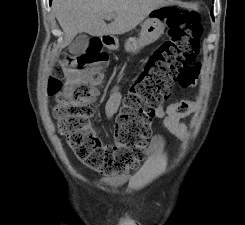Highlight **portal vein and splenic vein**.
I'll return each instance as SVG.
<instances>
[{
    "label": "portal vein and splenic vein",
    "instance_id": "portal-vein-and-splenic-vein-1",
    "mask_svg": "<svg viewBox=\"0 0 245 225\" xmlns=\"http://www.w3.org/2000/svg\"><path fill=\"white\" fill-rule=\"evenodd\" d=\"M113 18H115L114 14H108L105 16V19H113Z\"/></svg>",
    "mask_w": 245,
    "mask_h": 225
}]
</instances>
